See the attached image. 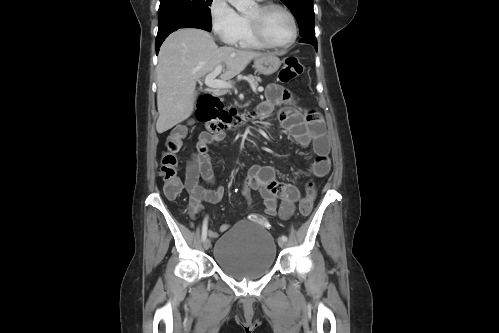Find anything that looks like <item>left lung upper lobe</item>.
I'll return each mask as SVG.
<instances>
[{"instance_id": "left-lung-upper-lobe-1", "label": "left lung upper lobe", "mask_w": 499, "mask_h": 333, "mask_svg": "<svg viewBox=\"0 0 499 333\" xmlns=\"http://www.w3.org/2000/svg\"><path fill=\"white\" fill-rule=\"evenodd\" d=\"M297 19L302 37H314L313 0H281Z\"/></svg>"}]
</instances>
